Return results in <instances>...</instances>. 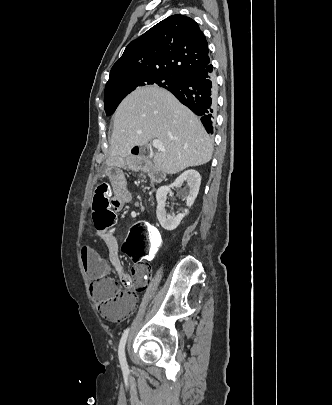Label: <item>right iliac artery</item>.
Here are the masks:
<instances>
[{"mask_svg":"<svg viewBox=\"0 0 332 405\" xmlns=\"http://www.w3.org/2000/svg\"><path fill=\"white\" fill-rule=\"evenodd\" d=\"M128 333H129V328H127L124 331V333H123V335L121 337V340H120V343H119V349H118L119 361H120L122 370L124 372L128 371V366H127L126 357H125V344H126V340H127V337H128Z\"/></svg>","mask_w":332,"mask_h":405,"instance_id":"right-iliac-artery-1","label":"right iliac artery"}]
</instances>
